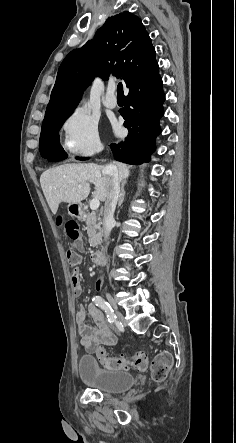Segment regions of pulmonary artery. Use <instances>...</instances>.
Wrapping results in <instances>:
<instances>
[{
  "instance_id": "obj_1",
  "label": "pulmonary artery",
  "mask_w": 236,
  "mask_h": 443,
  "mask_svg": "<svg viewBox=\"0 0 236 443\" xmlns=\"http://www.w3.org/2000/svg\"><path fill=\"white\" fill-rule=\"evenodd\" d=\"M116 90L115 84L112 82L109 84L106 94L102 98V103L105 107L113 109L116 107L117 102L115 100H110L109 97L114 94Z\"/></svg>"
}]
</instances>
